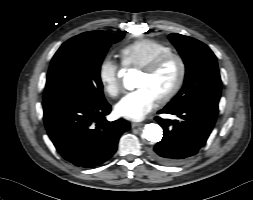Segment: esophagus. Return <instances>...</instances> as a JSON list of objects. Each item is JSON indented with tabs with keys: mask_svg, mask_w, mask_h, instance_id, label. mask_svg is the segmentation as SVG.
<instances>
[{
	"mask_svg": "<svg viewBox=\"0 0 253 200\" xmlns=\"http://www.w3.org/2000/svg\"><path fill=\"white\" fill-rule=\"evenodd\" d=\"M142 125H143V123H140V122H133V123H131V127L132 128L139 127V126H142Z\"/></svg>",
	"mask_w": 253,
	"mask_h": 200,
	"instance_id": "34e87169",
	"label": "esophagus"
}]
</instances>
